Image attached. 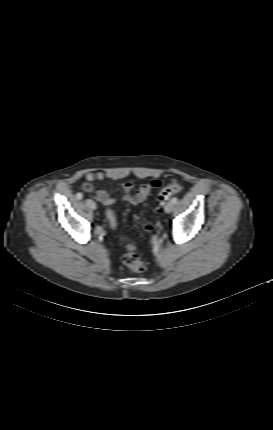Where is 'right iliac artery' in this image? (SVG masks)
I'll list each match as a JSON object with an SVG mask.
<instances>
[{"instance_id": "obj_1", "label": "right iliac artery", "mask_w": 273, "mask_h": 430, "mask_svg": "<svg viewBox=\"0 0 273 430\" xmlns=\"http://www.w3.org/2000/svg\"><path fill=\"white\" fill-rule=\"evenodd\" d=\"M76 198H77L78 200L82 199V198H83V194H82V193H77V194H76Z\"/></svg>"}]
</instances>
